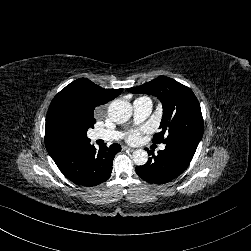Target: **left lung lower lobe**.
Returning <instances> with one entry per match:
<instances>
[{"label": "left lung lower lobe", "mask_w": 251, "mask_h": 251, "mask_svg": "<svg viewBox=\"0 0 251 251\" xmlns=\"http://www.w3.org/2000/svg\"><path fill=\"white\" fill-rule=\"evenodd\" d=\"M196 149L197 145L183 141L166 144L165 149L158 151L157 155L147 149L148 154H152V157L145 165L137 166L136 173L149 183L170 182L186 170Z\"/></svg>", "instance_id": "1"}]
</instances>
